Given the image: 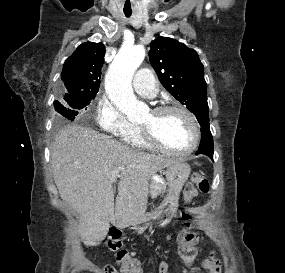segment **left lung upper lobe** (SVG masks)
Returning a JSON list of instances; mask_svg holds the SVG:
<instances>
[{"instance_id":"1","label":"left lung upper lobe","mask_w":285,"mask_h":273,"mask_svg":"<svg viewBox=\"0 0 285 273\" xmlns=\"http://www.w3.org/2000/svg\"><path fill=\"white\" fill-rule=\"evenodd\" d=\"M149 60L166 90L196 116L209 124L204 66L195 50L172 38L158 37L150 44Z\"/></svg>"}]
</instances>
